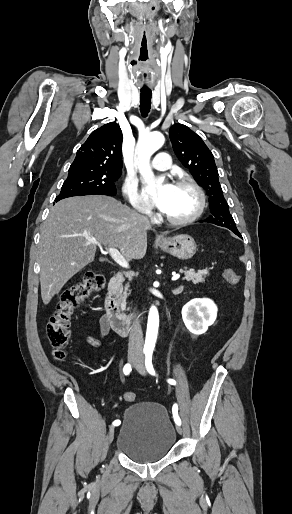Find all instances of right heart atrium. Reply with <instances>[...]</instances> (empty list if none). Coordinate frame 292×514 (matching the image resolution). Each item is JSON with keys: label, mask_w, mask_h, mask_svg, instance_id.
I'll return each mask as SVG.
<instances>
[{"label": "right heart atrium", "mask_w": 292, "mask_h": 514, "mask_svg": "<svg viewBox=\"0 0 292 514\" xmlns=\"http://www.w3.org/2000/svg\"><path fill=\"white\" fill-rule=\"evenodd\" d=\"M122 192L134 209H143V213L148 210L149 205L139 190L138 180L133 175L126 174L122 184Z\"/></svg>", "instance_id": "obj_1"}]
</instances>
